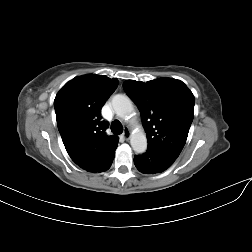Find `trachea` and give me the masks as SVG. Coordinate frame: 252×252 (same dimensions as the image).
<instances>
[{"mask_svg":"<svg viewBox=\"0 0 252 252\" xmlns=\"http://www.w3.org/2000/svg\"><path fill=\"white\" fill-rule=\"evenodd\" d=\"M111 130L116 135L121 134L123 132L122 124L118 120L113 121L111 124Z\"/></svg>","mask_w":252,"mask_h":252,"instance_id":"obj_1","label":"trachea"}]
</instances>
